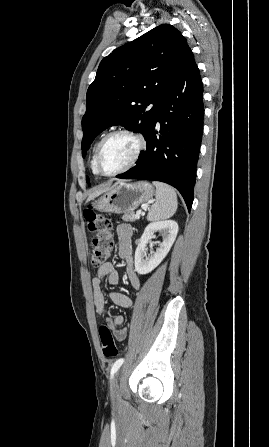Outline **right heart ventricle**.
Here are the masks:
<instances>
[{
  "mask_svg": "<svg viewBox=\"0 0 269 447\" xmlns=\"http://www.w3.org/2000/svg\"><path fill=\"white\" fill-rule=\"evenodd\" d=\"M100 143V139H98L94 146H93V150H92V156H91V169L93 171V173L95 175H100L101 173L98 171L97 166H96V152H97V147Z\"/></svg>",
  "mask_w": 269,
  "mask_h": 447,
  "instance_id": "right-heart-ventricle-1",
  "label": "right heart ventricle"
}]
</instances>
